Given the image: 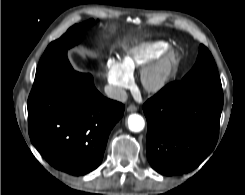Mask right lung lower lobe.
Segmentation results:
<instances>
[{
  "label": "right lung lower lobe",
  "mask_w": 245,
  "mask_h": 195,
  "mask_svg": "<svg viewBox=\"0 0 245 195\" xmlns=\"http://www.w3.org/2000/svg\"><path fill=\"white\" fill-rule=\"evenodd\" d=\"M32 144L54 168L80 176L96 169L124 105L102 96L90 74L71 73L28 98Z\"/></svg>",
  "instance_id": "right-lung-lower-lobe-1"
}]
</instances>
